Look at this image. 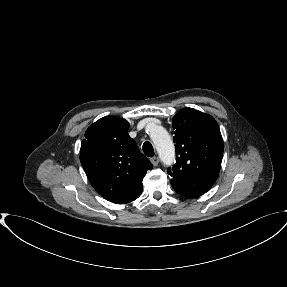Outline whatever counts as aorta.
Segmentation results:
<instances>
[{"label": "aorta", "mask_w": 287, "mask_h": 287, "mask_svg": "<svg viewBox=\"0 0 287 287\" xmlns=\"http://www.w3.org/2000/svg\"><path fill=\"white\" fill-rule=\"evenodd\" d=\"M150 138L161 161L167 166L172 165L175 161V147L166 129L160 125H153L150 129Z\"/></svg>", "instance_id": "762f6f07"}]
</instances>
